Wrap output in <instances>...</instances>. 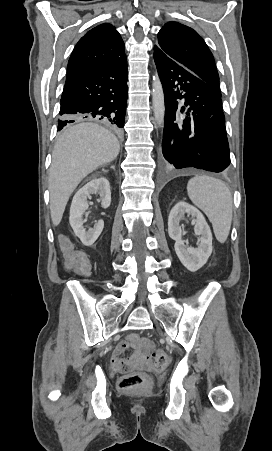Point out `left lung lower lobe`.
<instances>
[{"mask_svg":"<svg viewBox=\"0 0 272 451\" xmlns=\"http://www.w3.org/2000/svg\"><path fill=\"white\" fill-rule=\"evenodd\" d=\"M154 60L165 96L163 165L167 169L224 171L230 165V155L221 95L158 45L154 46ZM182 98L190 108L178 121L177 99Z\"/></svg>","mask_w":272,"mask_h":451,"instance_id":"left-lung-lower-lobe-1","label":"left lung lower lobe"}]
</instances>
